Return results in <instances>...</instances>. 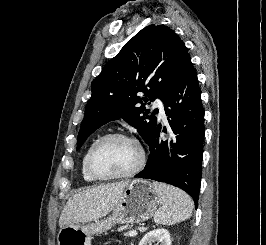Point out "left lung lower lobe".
Masks as SVG:
<instances>
[{"mask_svg":"<svg viewBox=\"0 0 266 245\" xmlns=\"http://www.w3.org/2000/svg\"><path fill=\"white\" fill-rule=\"evenodd\" d=\"M171 136L160 140L156 124L149 141L147 164L135 177L165 182L186 191L198 204L204 129V109L197 72L186 59L163 99ZM166 132V131H165Z\"/></svg>","mask_w":266,"mask_h":245,"instance_id":"0a47b994","label":"left lung lower lobe"}]
</instances>
